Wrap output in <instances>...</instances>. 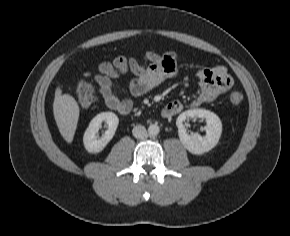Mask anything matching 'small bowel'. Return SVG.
<instances>
[{
	"instance_id": "small-bowel-1",
	"label": "small bowel",
	"mask_w": 290,
	"mask_h": 236,
	"mask_svg": "<svg viewBox=\"0 0 290 236\" xmlns=\"http://www.w3.org/2000/svg\"><path fill=\"white\" fill-rule=\"evenodd\" d=\"M130 72L133 79L130 83L132 96L139 97L159 86L164 80L178 75V55L173 51L159 54L154 51L145 53L143 62L134 57L117 56L112 62H102L98 67L95 82L107 107L122 115L130 113L133 107L131 99H120L113 90V81ZM199 92L189 106L199 107L215 100L228 91L233 79L223 64H214L197 73ZM185 105L180 101H171L164 106L161 115L171 118L180 113Z\"/></svg>"
}]
</instances>
